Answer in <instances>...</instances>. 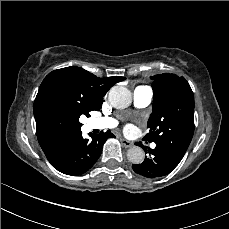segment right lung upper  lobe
<instances>
[{
	"instance_id": "cb5924a9",
	"label": "right lung upper lobe",
	"mask_w": 229,
	"mask_h": 229,
	"mask_svg": "<svg viewBox=\"0 0 229 229\" xmlns=\"http://www.w3.org/2000/svg\"><path fill=\"white\" fill-rule=\"evenodd\" d=\"M124 79L125 77L98 78L83 68L76 66L57 69L49 73L41 83L34 102L37 138L45 155L49 156L57 145L67 138H54L43 131L39 124L35 107L40 97L47 90L53 87H62L71 90L98 111L102 105V97L106 92L114 84Z\"/></svg>"
}]
</instances>
